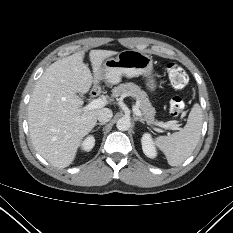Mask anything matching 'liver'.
<instances>
[{
  "label": "liver",
  "instance_id": "6515ba94",
  "mask_svg": "<svg viewBox=\"0 0 233 233\" xmlns=\"http://www.w3.org/2000/svg\"><path fill=\"white\" fill-rule=\"evenodd\" d=\"M116 54L91 50L92 74L84 64V52H77L51 64L38 79L28 105L29 132L36 151L53 166H69L82 139L96 125L101 109L84 111L77 94L87 93L104 79L102 63Z\"/></svg>",
  "mask_w": 233,
  "mask_h": 233
}]
</instances>
